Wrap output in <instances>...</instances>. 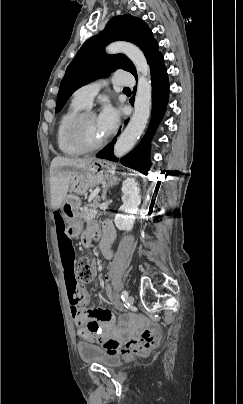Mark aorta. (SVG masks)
I'll list each match as a JSON object with an SVG mask.
<instances>
[{"mask_svg":"<svg viewBox=\"0 0 243 404\" xmlns=\"http://www.w3.org/2000/svg\"><path fill=\"white\" fill-rule=\"evenodd\" d=\"M106 52L107 54H125L133 62L138 74L134 114L127 128H125L114 146L116 158H122L135 146L149 120L152 92L149 80L150 70L143 52L137 46H134V44H129V42H114V44L107 46Z\"/></svg>","mask_w":243,"mask_h":404,"instance_id":"762f6f07","label":"aorta"}]
</instances>
